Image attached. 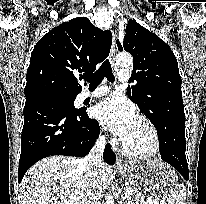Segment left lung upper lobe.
<instances>
[{"mask_svg": "<svg viewBox=\"0 0 206 204\" xmlns=\"http://www.w3.org/2000/svg\"><path fill=\"white\" fill-rule=\"evenodd\" d=\"M119 50L133 56V72L127 94L155 125L158 136L165 133L169 122L185 117L181 77L177 59L170 47L158 36L130 19L126 26L123 46Z\"/></svg>", "mask_w": 206, "mask_h": 204, "instance_id": "5c2ea615", "label": "left lung upper lobe"}]
</instances>
